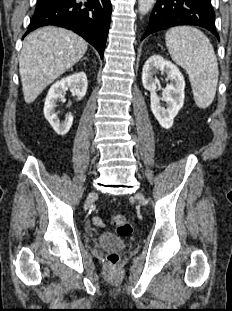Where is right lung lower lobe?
I'll list each match as a JSON object with an SVG mask.
<instances>
[{
	"label": "right lung lower lobe",
	"instance_id": "1",
	"mask_svg": "<svg viewBox=\"0 0 232 311\" xmlns=\"http://www.w3.org/2000/svg\"><path fill=\"white\" fill-rule=\"evenodd\" d=\"M112 7L110 0H37L29 32L46 25H56L82 36L103 57Z\"/></svg>",
	"mask_w": 232,
	"mask_h": 311
}]
</instances>
